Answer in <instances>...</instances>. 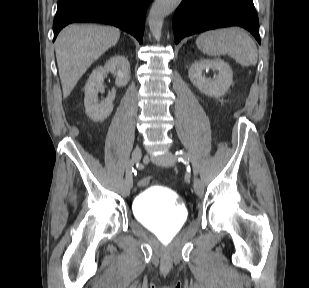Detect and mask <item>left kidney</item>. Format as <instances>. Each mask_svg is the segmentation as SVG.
Listing matches in <instances>:
<instances>
[{"instance_id":"left-kidney-1","label":"left kidney","mask_w":309,"mask_h":288,"mask_svg":"<svg viewBox=\"0 0 309 288\" xmlns=\"http://www.w3.org/2000/svg\"><path fill=\"white\" fill-rule=\"evenodd\" d=\"M206 69L217 70L219 74L213 79L205 77ZM192 84L203 94L210 97H220L230 88L233 73L229 64L221 59H200L194 62L188 71Z\"/></svg>"}]
</instances>
